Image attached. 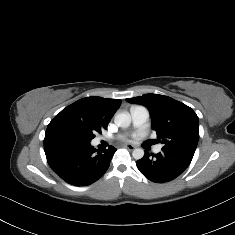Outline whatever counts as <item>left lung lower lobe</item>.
<instances>
[{
	"instance_id": "1",
	"label": "left lung lower lobe",
	"mask_w": 235,
	"mask_h": 235,
	"mask_svg": "<svg viewBox=\"0 0 235 235\" xmlns=\"http://www.w3.org/2000/svg\"><path fill=\"white\" fill-rule=\"evenodd\" d=\"M192 156L162 149L158 154L145 151L142 159L136 161L139 171L153 182H168L175 179L189 166Z\"/></svg>"
}]
</instances>
